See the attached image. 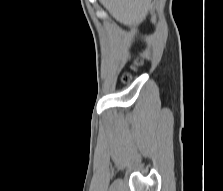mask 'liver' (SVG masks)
<instances>
[{
  "instance_id": "obj_1",
  "label": "liver",
  "mask_w": 223,
  "mask_h": 191,
  "mask_svg": "<svg viewBox=\"0 0 223 191\" xmlns=\"http://www.w3.org/2000/svg\"><path fill=\"white\" fill-rule=\"evenodd\" d=\"M101 4L120 23L135 25L147 15L151 0H100Z\"/></svg>"
}]
</instances>
